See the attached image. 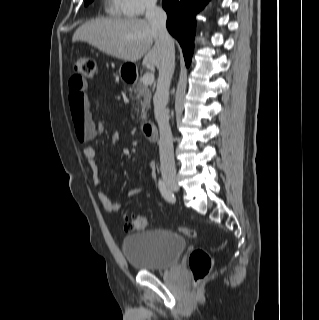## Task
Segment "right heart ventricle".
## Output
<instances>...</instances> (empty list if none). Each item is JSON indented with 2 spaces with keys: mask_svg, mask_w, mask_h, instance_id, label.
I'll return each mask as SVG.
<instances>
[{
  "mask_svg": "<svg viewBox=\"0 0 319 320\" xmlns=\"http://www.w3.org/2000/svg\"><path fill=\"white\" fill-rule=\"evenodd\" d=\"M107 6H108L109 9H111V11H112L113 13L118 14L119 8H118L115 0H107Z\"/></svg>",
  "mask_w": 319,
  "mask_h": 320,
  "instance_id": "obj_1",
  "label": "right heart ventricle"
}]
</instances>
